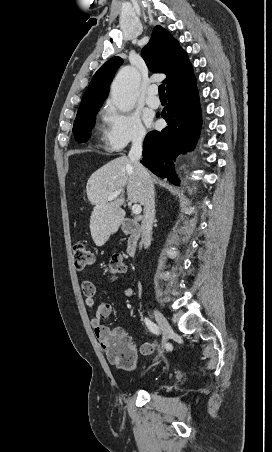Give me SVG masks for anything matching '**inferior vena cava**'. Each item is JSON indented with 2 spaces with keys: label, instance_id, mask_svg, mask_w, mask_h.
I'll list each match as a JSON object with an SVG mask.
<instances>
[{
  "label": "inferior vena cava",
  "instance_id": "inferior-vena-cava-1",
  "mask_svg": "<svg viewBox=\"0 0 272 452\" xmlns=\"http://www.w3.org/2000/svg\"><path fill=\"white\" fill-rule=\"evenodd\" d=\"M144 134H139L132 142L128 157L143 185L142 200L144 214L141 223V245L148 248L152 240V225L155 218L154 185L149 172L140 163Z\"/></svg>",
  "mask_w": 272,
  "mask_h": 452
}]
</instances>
